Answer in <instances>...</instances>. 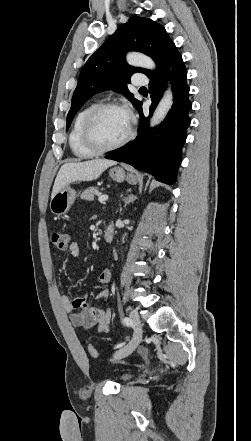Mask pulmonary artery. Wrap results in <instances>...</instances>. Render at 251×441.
<instances>
[{
    "label": "pulmonary artery",
    "instance_id": "1",
    "mask_svg": "<svg viewBox=\"0 0 251 441\" xmlns=\"http://www.w3.org/2000/svg\"><path fill=\"white\" fill-rule=\"evenodd\" d=\"M132 83L136 86H144L148 83V80L144 75L135 74L132 78Z\"/></svg>",
    "mask_w": 251,
    "mask_h": 441
}]
</instances>
